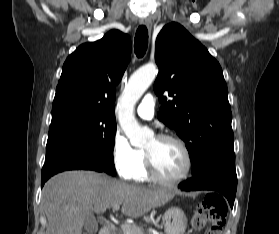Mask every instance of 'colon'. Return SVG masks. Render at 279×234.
I'll return each instance as SVG.
<instances>
[{
  "label": "colon",
  "mask_w": 279,
  "mask_h": 234,
  "mask_svg": "<svg viewBox=\"0 0 279 234\" xmlns=\"http://www.w3.org/2000/svg\"><path fill=\"white\" fill-rule=\"evenodd\" d=\"M228 205L224 197L208 195L198 203L192 218V227L205 230L206 234H223L226 224Z\"/></svg>",
  "instance_id": "colon-1"
}]
</instances>
